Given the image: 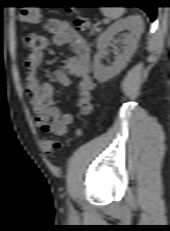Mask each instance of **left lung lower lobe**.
<instances>
[{"mask_svg": "<svg viewBox=\"0 0 170 231\" xmlns=\"http://www.w3.org/2000/svg\"><path fill=\"white\" fill-rule=\"evenodd\" d=\"M133 3L138 4L137 7L143 9L148 14L151 21L155 20L156 6L154 5L153 0H134Z\"/></svg>", "mask_w": 170, "mask_h": 231, "instance_id": "0a47b994", "label": "left lung lower lobe"}]
</instances>
